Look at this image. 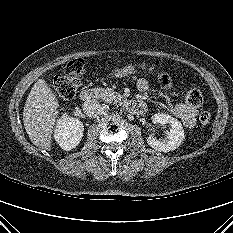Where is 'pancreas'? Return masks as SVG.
<instances>
[{
	"label": "pancreas",
	"mask_w": 233,
	"mask_h": 233,
	"mask_svg": "<svg viewBox=\"0 0 233 233\" xmlns=\"http://www.w3.org/2000/svg\"><path fill=\"white\" fill-rule=\"evenodd\" d=\"M92 92L96 98L105 102H116L122 98L120 94L109 88H93Z\"/></svg>",
	"instance_id": "pancreas-1"
}]
</instances>
